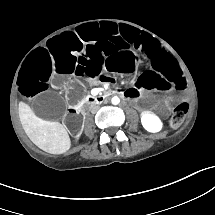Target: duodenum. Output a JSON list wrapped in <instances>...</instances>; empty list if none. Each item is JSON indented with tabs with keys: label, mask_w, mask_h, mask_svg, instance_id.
<instances>
[{
	"label": "duodenum",
	"mask_w": 215,
	"mask_h": 215,
	"mask_svg": "<svg viewBox=\"0 0 215 215\" xmlns=\"http://www.w3.org/2000/svg\"><path fill=\"white\" fill-rule=\"evenodd\" d=\"M115 92L111 91V92H108V93H104V94H99L97 96H92V97H89L87 100H86V104L87 105H97V104H101L103 103L109 96H112L114 95ZM70 111L74 114H77L79 115L80 112H81V109L80 107H74L72 109H70Z\"/></svg>",
	"instance_id": "duodenum-1"
}]
</instances>
